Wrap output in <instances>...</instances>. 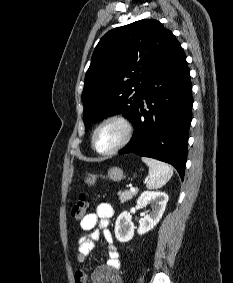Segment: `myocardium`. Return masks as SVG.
Returning a JSON list of instances; mask_svg holds the SVG:
<instances>
[{
    "instance_id": "f54148a6",
    "label": "myocardium",
    "mask_w": 233,
    "mask_h": 283,
    "mask_svg": "<svg viewBox=\"0 0 233 283\" xmlns=\"http://www.w3.org/2000/svg\"><path fill=\"white\" fill-rule=\"evenodd\" d=\"M109 123H117L123 128V136L119 143L115 145L113 148H111L108 151H100L97 149L95 145V138L97 135V132L106 124ZM134 134V126L132 121L123 114H113L106 118H104L102 121H100L97 126L94 128L92 136H91V146L95 152H97L100 155H113L120 150H122L124 147H126L129 142L131 141Z\"/></svg>"
}]
</instances>
